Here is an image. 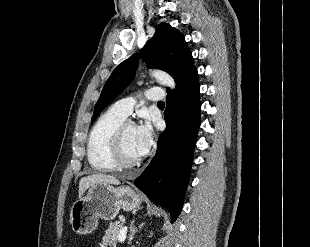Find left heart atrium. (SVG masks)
<instances>
[{
    "label": "left heart atrium",
    "mask_w": 310,
    "mask_h": 247,
    "mask_svg": "<svg viewBox=\"0 0 310 247\" xmlns=\"http://www.w3.org/2000/svg\"><path fill=\"white\" fill-rule=\"evenodd\" d=\"M136 136L139 154L143 156L148 152L153 141V128L148 119L136 127Z\"/></svg>",
    "instance_id": "39dd6f15"
}]
</instances>
